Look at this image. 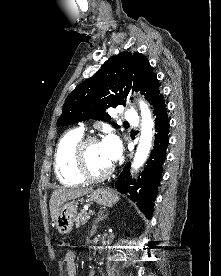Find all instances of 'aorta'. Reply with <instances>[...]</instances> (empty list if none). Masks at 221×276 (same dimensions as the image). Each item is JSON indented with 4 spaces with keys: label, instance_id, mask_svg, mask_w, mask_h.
<instances>
[{
    "label": "aorta",
    "instance_id": "obj_1",
    "mask_svg": "<svg viewBox=\"0 0 221 276\" xmlns=\"http://www.w3.org/2000/svg\"><path fill=\"white\" fill-rule=\"evenodd\" d=\"M139 106L141 110V136L132 163V168L135 170H137L144 164L149 155L152 145L154 127V122L152 120L148 105L144 101L140 100Z\"/></svg>",
    "mask_w": 221,
    "mask_h": 276
}]
</instances>
